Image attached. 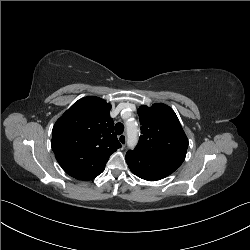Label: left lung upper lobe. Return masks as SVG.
<instances>
[{
  "mask_svg": "<svg viewBox=\"0 0 250 250\" xmlns=\"http://www.w3.org/2000/svg\"><path fill=\"white\" fill-rule=\"evenodd\" d=\"M137 113L142 135L137 147L127 152V164L144 156L155 166L173 173L183 163L188 147V139L175 112L160 103L141 106Z\"/></svg>",
  "mask_w": 250,
  "mask_h": 250,
  "instance_id": "left-lung-upper-lobe-1",
  "label": "left lung upper lobe"
}]
</instances>
